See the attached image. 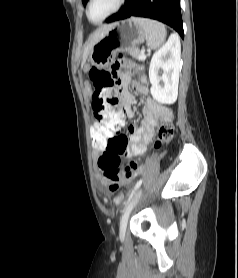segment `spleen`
Instances as JSON below:
<instances>
[{
	"instance_id": "1",
	"label": "spleen",
	"mask_w": 238,
	"mask_h": 278,
	"mask_svg": "<svg viewBox=\"0 0 238 278\" xmlns=\"http://www.w3.org/2000/svg\"><path fill=\"white\" fill-rule=\"evenodd\" d=\"M136 21L141 25L146 33L147 45L151 49L159 48L166 38L165 26L157 21L145 19V18H135Z\"/></svg>"
}]
</instances>
